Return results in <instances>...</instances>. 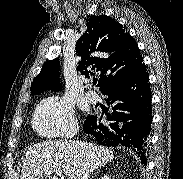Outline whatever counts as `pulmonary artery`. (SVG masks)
Masks as SVG:
<instances>
[{
    "instance_id": "pulmonary-artery-1",
    "label": "pulmonary artery",
    "mask_w": 183,
    "mask_h": 179,
    "mask_svg": "<svg viewBox=\"0 0 183 179\" xmlns=\"http://www.w3.org/2000/svg\"><path fill=\"white\" fill-rule=\"evenodd\" d=\"M86 97L92 103H97L100 101V95L95 91H88L86 93Z\"/></svg>"
}]
</instances>
